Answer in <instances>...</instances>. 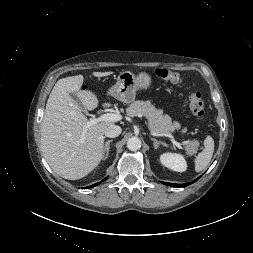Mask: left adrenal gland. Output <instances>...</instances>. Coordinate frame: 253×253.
<instances>
[{"label": "left adrenal gland", "mask_w": 253, "mask_h": 253, "mask_svg": "<svg viewBox=\"0 0 253 253\" xmlns=\"http://www.w3.org/2000/svg\"><path fill=\"white\" fill-rule=\"evenodd\" d=\"M151 140L153 141V144H154V148L155 149H158V147L160 145H163V146H167L166 143L162 142V141H158L157 139L155 138H151Z\"/></svg>", "instance_id": "obj_1"}]
</instances>
